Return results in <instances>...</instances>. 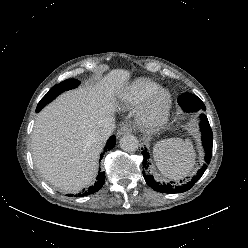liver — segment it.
Instances as JSON below:
<instances>
[{
	"label": "liver",
	"instance_id": "6515ba94",
	"mask_svg": "<svg viewBox=\"0 0 248 248\" xmlns=\"http://www.w3.org/2000/svg\"><path fill=\"white\" fill-rule=\"evenodd\" d=\"M129 77L127 70H112L95 84L65 92L38 114L32 154L51 185L75 193L93 181L104 142H95L92 133L113 117Z\"/></svg>",
	"mask_w": 248,
	"mask_h": 248
}]
</instances>
